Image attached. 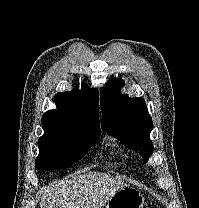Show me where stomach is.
<instances>
[{
	"mask_svg": "<svg viewBox=\"0 0 199 208\" xmlns=\"http://www.w3.org/2000/svg\"><path fill=\"white\" fill-rule=\"evenodd\" d=\"M144 197L133 187L125 186L107 202L106 208H143Z\"/></svg>",
	"mask_w": 199,
	"mask_h": 208,
	"instance_id": "stomach-1",
	"label": "stomach"
}]
</instances>
